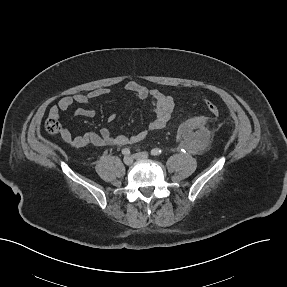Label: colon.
Returning <instances> with one entry per match:
<instances>
[{
    "instance_id": "obj_1",
    "label": "colon",
    "mask_w": 287,
    "mask_h": 287,
    "mask_svg": "<svg viewBox=\"0 0 287 287\" xmlns=\"http://www.w3.org/2000/svg\"><path fill=\"white\" fill-rule=\"evenodd\" d=\"M205 106L207 111L213 115L217 116L220 113V109L216 103L210 100L205 101ZM45 130L50 135H58L62 131V126L59 120L55 117H50L45 123Z\"/></svg>"
}]
</instances>
